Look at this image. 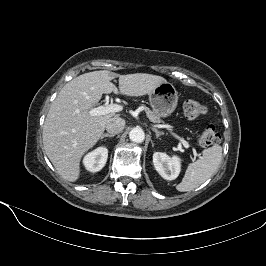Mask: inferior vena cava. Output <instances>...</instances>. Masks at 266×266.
I'll list each match as a JSON object with an SVG mask.
<instances>
[{"label":"inferior vena cava","instance_id":"1","mask_svg":"<svg viewBox=\"0 0 266 266\" xmlns=\"http://www.w3.org/2000/svg\"><path fill=\"white\" fill-rule=\"evenodd\" d=\"M125 127V120L119 117L111 118L106 123V130L111 134H117L123 131Z\"/></svg>","mask_w":266,"mask_h":266}]
</instances>
